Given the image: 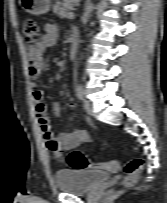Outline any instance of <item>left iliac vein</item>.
Segmentation results:
<instances>
[{
	"label": "left iliac vein",
	"instance_id": "4c4485c4",
	"mask_svg": "<svg viewBox=\"0 0 167 203\" xmlns=\"http://www.w3.org/2000/svg\"><path fill=\"white\" fill-rule=\"evenodd\" d=\"M83 107H84V110L86 111V113H88L89 115L93 114V105L90 101L84 100Z\"/></svg>",
	"mask_w": 167,
	"mask_h": 203
}]
</instances>
